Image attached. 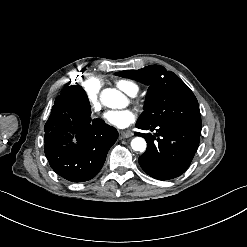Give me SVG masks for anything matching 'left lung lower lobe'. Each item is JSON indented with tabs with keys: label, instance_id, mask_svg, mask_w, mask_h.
<instances>
[{
	"label": "left lung lower lobe",
	"instance_id": "1",
	"mask_svg": "<svg viewBox=\"0 0 247 247\" xmlns=\"http://www.w3.org/2000/svg\"><path fill=\"white\" fill-rule=\"evenodd\" d=\"M136 127L156 129L157 132L154 134L157 138L150 133H135L147 141V150L139 157V164L146 174L158 180H168L187 170L197 151L201 130L175 123Z\"/></svg>",
	"mask_w": 247,
	"mask_h": 247
}]
</instances>
